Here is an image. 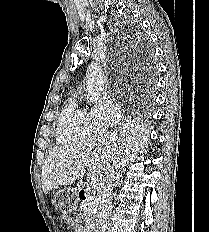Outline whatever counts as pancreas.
<instances>
[{
    "mask_svg": "<svg viewBox=\"0 0 209 232\" xmlns=\"http://www.w3.org/2000/svg\"><path fill=\"white\" fill-rule=\"evenodd\" d=\"M81 208L84 212L85 224L89 231L94 226L98 208L97 199L92 196H89L88 200L81 204Z\"/></svg>",
    "mask_w": 209,
    "mask_h": 232,
    "instance_id": "pancreas-1",
    "label": "pancreas"
}]
</instances>
